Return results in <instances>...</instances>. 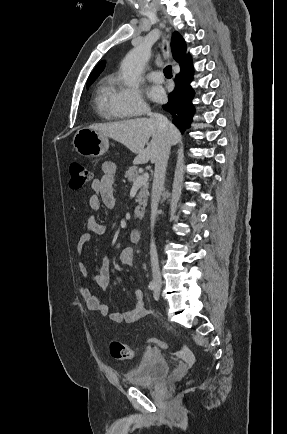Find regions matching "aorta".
<instances>
[{"label": "aorta", "instance_id": "obj_1", "mask_svg": "<svg viewBox=\"0 0 287 434\" xmlns=\"http://www.w3.org/2000/svg\"><path fill=\"white\" fill-rule=\"evenodd\" d=\"M151 55L149 48L140 45L132 49L121 64L122 80L128 86L136 84Z\"/></svg>", "mask_w": 287, "mask_h": 434}]
</instances>
